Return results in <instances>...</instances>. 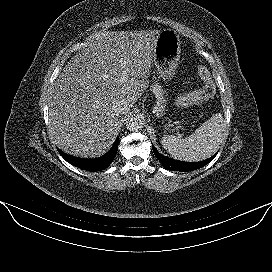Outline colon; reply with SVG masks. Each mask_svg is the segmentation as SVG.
Wrapping results in <instances>:
<instances>
[{
  "label": "colon",
  "instance_id": "colon-1",
  "mask_svg": "<svg viewBox=\"0 0 272 272\" xmlns=\"http://www.w3.org/2000/svg\"><path fill=\"white\" fill-rule=\"evenodd\" d=\"M199 75L204 83L202 89L179 96L173 103V109L175 112L180 113L185 108L202 103L214 95L215 86L207 68L200 67Z\"/></svg>",
  "mask_w": 272,
  "mask_h": 272
}]
</instances>
